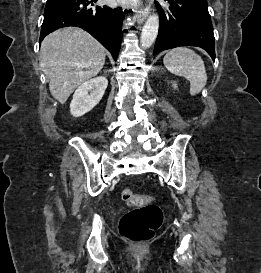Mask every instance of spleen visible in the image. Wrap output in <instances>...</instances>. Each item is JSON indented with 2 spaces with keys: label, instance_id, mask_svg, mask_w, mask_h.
<instances>
[{
  "label": "spleen",
  "instance_id": "obj_1",
  "mask_svg": "<svg viewBox=\"0 0 261 273\" xmlns=\"http://www.w3.org/2000/svg\"><path fill=\"white\" fill-rule=\"evenodd\" d=\"M167 70L177 76H183L190 82V94H199L207 83L204 61L192 49L177 47L171 49L164 57Z\"/></svg>",
  "mask_w": 261,
  "mask_h": 273
}]
</instances>
